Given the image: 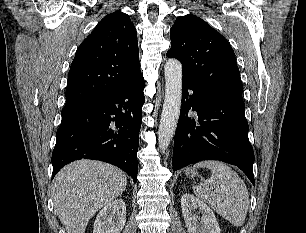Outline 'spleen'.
Instances as JSON below:
<instances>
[{"label": "spleen", "mask_w": 306, "mask_h": 233, "mask_svg": "<svg viewBox=\"0 0 306 233\" xmlns=\"http://www.w3.org/2000/svg\"><path fill=\"white\" fill-rule=\"evenodd\" d=\"M194 167L211 170L207 181L193 186L195 195L233 226H242L250 204L244 181L231 167L219 161H201Z\"/></svg>", "instance_id": "obj_1"}]
</instances>
